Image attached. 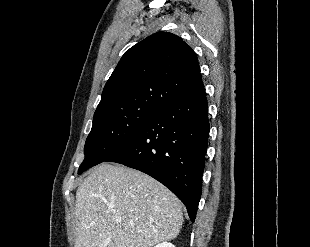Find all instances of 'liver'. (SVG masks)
<instances>
[{"label": "liver", "instance_id": "liver-1", "mask_svg": "<svg viewBox=\"0 0 310 247\" xmlns=\"http://www.w3.org/2000/svg\"><path fill=\"white\" fill-rule=\"evenodd\" d=\"M183 204L138 170L103 163L76 191L74 247H153L177 237Z\"/></svg>", "mask_w": 310, "mask_h": 247}]
</instances>
